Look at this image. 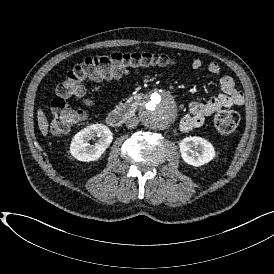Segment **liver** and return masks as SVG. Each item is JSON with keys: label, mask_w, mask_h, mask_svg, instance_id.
<instances>
[{"label": "liver", "mask_w": 274, "mask_h": 274, "mask_svg": "<svg viewBox=\"0 0 274 274\" xmlns=\"http://www.w3.org/2000/svg\"><path fill=\"white\" fill-rule=\"evenodd\" d=\"M37 122L38 128L40 129L42 135L46 138L49 133V122L46 113L41 106L38 107Z\"/></svg>", "instance_id": "1"}]
</instances>
